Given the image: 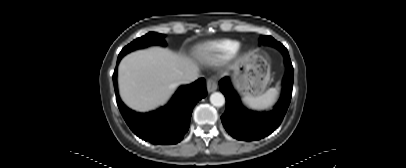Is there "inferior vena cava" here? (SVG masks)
Listing matches in <instances>:
<instances>
[{
	"label": "inferior vena cava",
	"mask_w": 406,
	"mask_h": 168,
	"mask_svg": "<svg viewBox=\"0 0 406 168\" xmlns=\"http://www.w3.org/2000/svg\"><path fill=\"white\" fill-rule=\"evenodd\" d=\"M198 77H199L198 69H193L189 72L182 74L179 77V82L181 84H188V83H191V82L195 81L196 79H198Z\"/></svg>",
	"instance_id": "602c4592"
}]
</instances>
